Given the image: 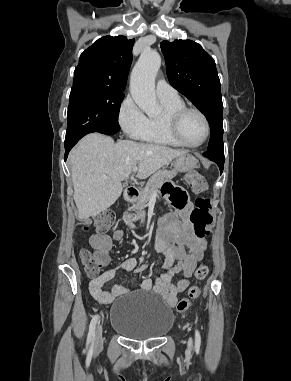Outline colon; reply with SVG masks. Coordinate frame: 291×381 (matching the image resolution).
I'll list each match as a JSON object with an SVG mask.
<instances>
[{"label": "colon", "instance_id": "obj_1", "mask_svg": "<svg viewBox=\"0 0 291 381\" xmlns=\"http://www.w3.org/2000/svg\"><path fill=\"white\" fill-rule=\"evenodd\" d=\"M187 181L195 193L198 194L196 199V208L192 211L190 220L194 228V234L199 238H204L210 234V229L213 223V216L210 213V202L205 196L207 192V184L204 177L199 173H191ZM165 191V190H164ZM175 203L179 206L184 204L183 199H177ZM115 215L112 211H103L98 215L89 218L84 223V230L94 228L97 233L103 234L107 232L114 224ZM80 259L84 265L85 272L90 277L98 275L100 269L109 262L107 252L95 251L88 249L80 251ZM209 273V268L206 264H200L195 270V278L204 280ZM200 295L198 286H191L186 297L179 300L176 305V310L183 313L188 310L192 301L196 300Z\"/></svg>", "mask_w": 291, "mask_h": 381}]
</instances>
